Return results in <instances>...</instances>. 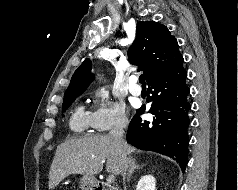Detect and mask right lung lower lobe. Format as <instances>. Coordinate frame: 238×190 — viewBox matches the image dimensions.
<instances>
[{
    "label": "right lung lower lobe",
    "instance_id": "obj_1",
    "mask_svg": "<svg viewBox=\"0 0 238 190\" xmlns=\"http://www.w3.org/2000/svg\"><path fill=\"white\" fill-rule=\"evenodd\" d=\"M183 58L170 70L149 81L148 92L152 94L149 113L153 120L143 121L137 110L127 132V142L143 150H153L176 160L184 170L188 163V128L190 124L188 102L190 89L186 85L187 72Z\"/></svg>",
    "mask_w": 238,
    "mask_h": 190
}]
</instances>
